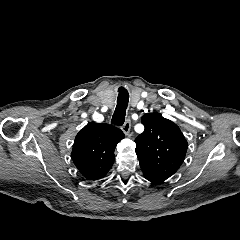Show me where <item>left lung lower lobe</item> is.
I'll list each match as a JSON object with an SVG mask.
<instances>
[{
	"label": "left lung lower lobe",
	"instance_id": "1",
	"mask_svg": "<svg viewBox=\"0 0 240 240\" xmlns=\"http://www.w3.org/2000/svg\"><path fill=\"white\" fill-rule=\"evenodd\" d=\"M142 171H143L144 177L148 181H150V182H152L154 184H160V183L165 181L163 178H161V177H159V176H157V175H155V174H153V173H151V172H149L147 170H142Z\"/></svg>",
	"mask_w": 240,
	"mask_h": 240
}]
</instances>
